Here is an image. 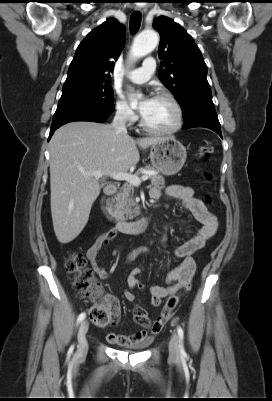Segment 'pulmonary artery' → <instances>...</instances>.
<instances>
[{
    "instance_id": "pulmonary-artery-1",
    "label": "pulmonary artery",
    "mask_w": 272,
    "mask_h": 401,
    "mask_svg": "<svg viewBox=\"0 0 272 401\" xmlns=\"http://www.w3.org/2000/svg\"><path fill=\"white\" fill-rule=\"evenodd\" d=\"M156 63L152 58H148L143 62V66L132 70L128 77L134 83H144L148 81L155 71Z\"/></svg>"
}]
</instances>
